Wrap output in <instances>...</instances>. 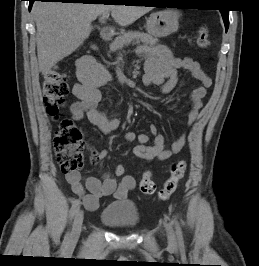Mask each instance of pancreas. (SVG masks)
Wrapping results in <instances>:
<instances>
[{
    "label": "pancreas",
    "mask_w": 259,
    "mask_h": 266,
    "mask_svg": "<svg viewBox=\"0 0 259 266\" xmlns=\"http://www.w3.org/2000/svg\"><path fill=\"white\" fill-rule=\"evenodd\" d=\"M157 42V38H154L148 34L138 31H128L114 39V41L110 44V51L115 52L130 44H142L143 49L151 50L156 46Z\"/></svg>",
    "instance_id": "pancreas-1"
}]
</instances>
